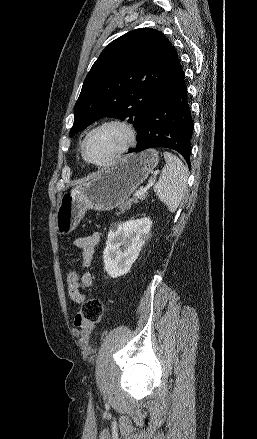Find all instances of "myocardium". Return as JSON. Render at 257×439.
I'll list each match as a JSON object with an SVG mask.
<instances>
[{
	"label": "myocardium",
	"instance_id": "f54148a6",
	"mask_svg": "<svg viewBox=\"0 0 257 439\" xmlns=\"http://www.w3.org/2000/svg\"><path fill=\"white\" fill-rule=\"evenodd\" d=\"M105 127H117L121 129L125 135V145L110 159L104 162H95L88 157L87 154L88 143L94 133ZM135 141H136V133L130 124L120 120L103 121L97 126H95L94 128H92L85 136L81 147L82 157L88 164L94 167L107 168L115 164L119 159H121L134 146Z\"/></svg>",
	"mask_w": 257,
	"mask_h": 439
}]
</instances>
